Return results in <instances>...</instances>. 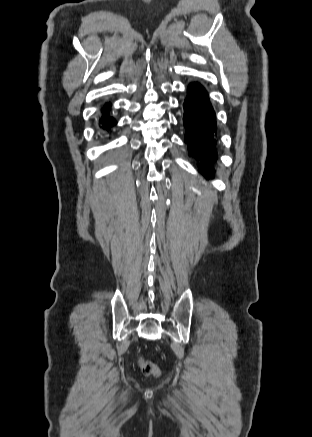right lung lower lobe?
<instances>
[{
    "instance_id": "98d812e1",
    "label": "right lung lower lobe",
    "mask_w": 312,
    "mask_h": 437,
    "mask_svg": "<svg viewBox=\"0 0 312 437\" xmlns=\"http://www.w3.org/2000/svg\"><path fill=\"white\" fill-rule=\"evenodd\" d=\"M101 125L103 128L109 130L115 124V120L108 116L107 110L103 109V116L101 118Z\"/></svg>"
}]
</instances>
